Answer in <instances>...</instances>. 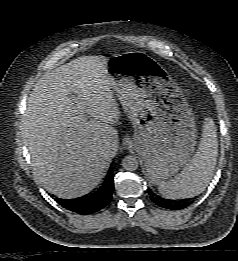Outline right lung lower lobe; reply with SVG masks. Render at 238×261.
I'll use <instances>...</instances> for the list:
<instances>
[{
    "label": "right lung lower lobe",
    "mask_w": 238,
    "mask_h": 261,
    "mask_svg": "<svg viewBox=\"0 0 238 261\" xmlns=\"http://www.w3.org/2000/svg\"><path fill=\"white\" fill-rule=\"evenodd\" d=\"M112 174V167H110L109 172L101 186L88 196L65 201L56 199V201L64 208L78 214L95 213L108 205L112 198V192L114 189V179Z\"/></svg>",
    "instance_id": "1"
}]
</instances>
